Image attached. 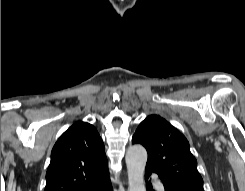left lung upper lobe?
Here are the masks:
<instances>
[{
	"label": "left lung upper lobe",
	"mask_w": 245,
	"mask_h": 191,
	"mask_svg": "<svg viewBox=\"0 0 245 191\" xmlns=\"http://www.w3.org/2000/svg\"><path fill=\"white\" fill-rule=\"evenodd\" d=\"M132 143L142 144L148 152L145 171L158 174L161 180L182 191H204L188 140L167 120L158 115L146 117Z\"/></svg>",
	"instance_id": "left-lung-upper-lobe-1"
}]
</instances>
